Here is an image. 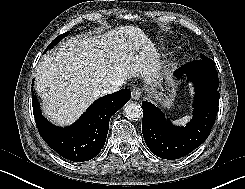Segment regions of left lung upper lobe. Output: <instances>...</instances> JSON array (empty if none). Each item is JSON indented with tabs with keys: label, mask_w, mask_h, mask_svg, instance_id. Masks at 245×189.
<instances>
[{
	"label": "left lung upper lobe",
	"mask_w": 245,
	"mask_h": 189,
	"mask_svg": "<svg viewBox=\"0 0 245 189\" xmlns=\"http://www.w3.org/2000/svg\"><path fill=\"white\" fill-rule=\"evenodd\" d=\"M200 58L201 59H209V58H207L205 55H203V54H200ZM210 61H211V63H213V64H215V62L213 61V60H211V59H209Z\"/></svg>",
	"instance_id": "obj_1"
}]
</instances>
